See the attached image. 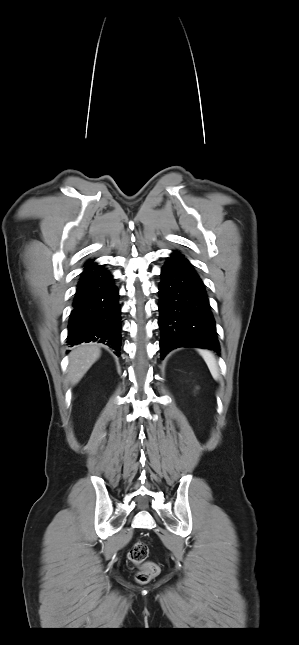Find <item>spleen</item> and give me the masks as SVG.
<instances>
[{
    "label": "spleen",
    "instance_id": "1",
    "mask_svg": "<svg viewBox=\"0 0 299 645\" xmlns=\"http://www.w3.org/2000/svg\"><path fill=\"white\" fill-rule=\"evenodd\" d=\"M199 353L203 357L204 361L206 362L212 377L215 380H218L219 378L218 366L213 354L208 350H199Z\"/></svg>",
    "mask_w": 299,
    "mask_h": 645
}]
</instances>
